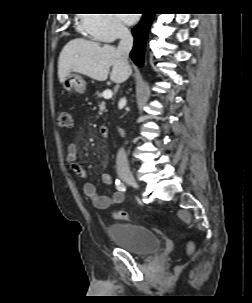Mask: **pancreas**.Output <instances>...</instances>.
<instances>
[{
    "label": "pancreas",
    "mask_w": 252,
    "mask_h": 303,
    "mask_svg": "<svg viewBox=\"0 0 252 303\" xmlns=\"http://www.w3.org/2000/svg\"><path fill=\"white\" fill-rule=\"evenodd\" d=\"M101 97H102V94H101L99 91H97V92H96V98H97V99H100ZM99 108H100L99 115H102L103 112L106 111V107H105V102H104V101H102V102L99 104Z\"/></svg>",
    "instance_id": "pancreas-1"
}]
</instances>
